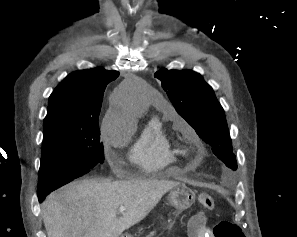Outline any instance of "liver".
<instances>
[{"mask_svg":"<svg viewBox=\"0 0 297 237\" xmlns=\"http://www.w3.org/2000/svg\"><path fill=\"white\" fill-rule=\"evenodd\" d=\"M178 182L82 180L50 194L42 203L48 237H119L143 220ZM125 207L117 218L118 208Z\"/></svg>","mask_w":297,"mask_h":237,"instance_id":"6515ba94","label":"liver"}]
</instances>
